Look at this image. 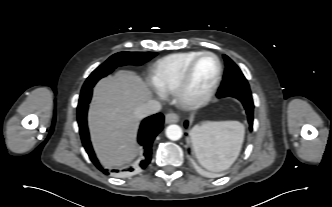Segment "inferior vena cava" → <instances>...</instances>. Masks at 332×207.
<instances>
[{
	"instance_id": "obj_1",
	"label": "inferior vena cava",
	"mask_w": 332,
	"mask_h": 207,
	"mask_svg": "<svg viewBox=\"0 0 332 207\" xmlns=\"http://www.w3.org/2000/svg\"><path fill=\"white\" fill-rule=\"evenodd\" d=\"M161 108V104L158 101L149 100L148 102L136 108L135 115L138 118H143L159 112Z\"/></svg>"
}]
</instances>
